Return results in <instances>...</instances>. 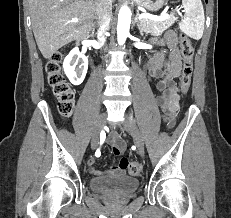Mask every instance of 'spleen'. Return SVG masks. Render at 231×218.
<instances>
[{
    "mask_svg": "<svg viewBox=\"0 0 231 218\" xmlns=\"http://www.w3.org/2000/svg\"><path fill=\"white\" fill-rule=\"evenodd\" d=\"M184 18L179 27L189 37L199 40L204 31V9L201 0H182Z\"/></svg>",
    "mask_w": 231,
    "mask_h": 218,
    "instance_id": "1",
    "label": "spleen"
}]
</instances>
